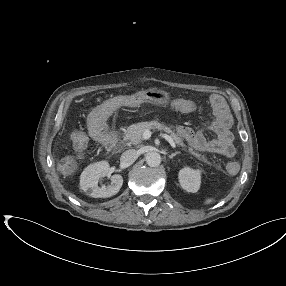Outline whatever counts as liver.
<instances>
[{
	"instance_id": "1",
	"label": "liver",
	"mask_w": 286,
	"mask_h": 286,
	"mask_svg": "<svg viewBox=\"0 0 286 286\" xmlns=\"http://www.w3.org/2000/svg\"><path fill=\"white\" fill-rule=\"evenodd\" d=\"M89 135L91 136V137H96L97 136V130H95V129H89Z\"/></svg>"
}]
</instances>
